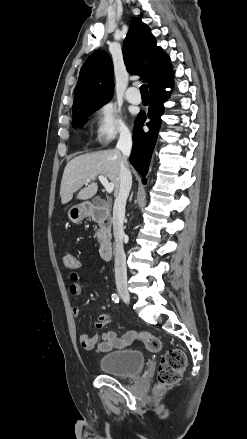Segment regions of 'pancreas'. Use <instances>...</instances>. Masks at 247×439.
<instances>
[{"instance_id":"cf45deb5","label":"pancreas","mask_w":247,"mask_h":439,"mask_svg":"<svg viewBox=\"0 0 247 439\" xmlns=\"http://www.w3.org/2000/svg\"><path fill=\"white\" fill-rule=\"evenodd\" d=\"M111 226L110 223L107 225H100V228L96 232V237L98 240H102L106 236H110Z\"/></svg>"}]
</instances>
